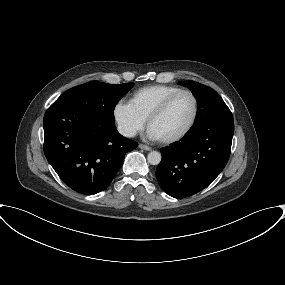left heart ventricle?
<instances>
[{"label":"left heart ventricle","instance_id":"b2bd125f","mask_svg":"<svg viewBox=\"0 0 285 285\" xmlns=\"http://www.w3.org/2000/svg\"><path fill=\"white\" fill-rule=\"evenodd\" d=\"M194 111V102L190 95L178 96L163 115L154 120L149 130L157 139H165L179 134L189 124Z\"/></svg>","mask_w":285,"mask_h":285}]
</instances>
